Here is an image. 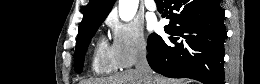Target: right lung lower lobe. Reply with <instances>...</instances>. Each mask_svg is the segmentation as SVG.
I'll list each match as a JSON object with an SVG mask.
<instances>
[{
    "label": "right lung lower lobe",
    "mask_w": 260,
    "mask_h": 84,
    "mask_svg": "<svg viewBox=\"0 0 260 84\" xmlns=\"http://www.w3.org/2000/svg\"><path fill=\"white\" fill-rule=\"evenodd\" d=\"M164 2L165 16L170 19L164 29L170 36L164 39L156 33L149 36L147 59L151 68L171 78L222 84L227 33L219 0Z\"/></svg>",
    "instance_id": "1"
}]
</instances>
